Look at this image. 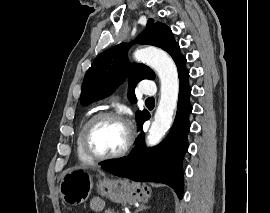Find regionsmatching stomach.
I'll use <instances>...</instances> for the list:
<instances>
[{
    "instance_id": "obj_1",
    "label": "stomach",
    "mask_w": 270,
    "mask_h": 213,
    "mask_svg": "<svg viewBox=\"0 0 270 213\" xmlns=\"http://www.w3.org/2000/svg\"><path fill=\"white\" fill-rule=\"evenodd\" d=\"M94 185L102 196L122 204L146 202L151 196V190L146 185L131 183L127 179L101 178L90 168H70L64 171L59 193L66 204L74 206L83 203L89 197Z\"/></svg>"
}]
</instances>
